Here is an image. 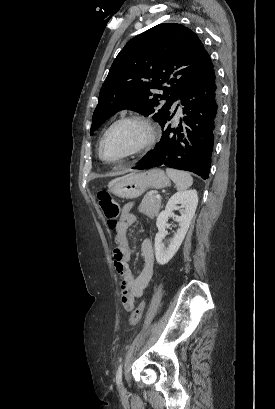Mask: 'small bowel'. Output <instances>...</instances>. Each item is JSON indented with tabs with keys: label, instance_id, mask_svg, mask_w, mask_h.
<instances>
[{
	"label": "small bowel",
	"instance_id": "c3829d8e",
	"mask_svg": "<svg viewBox=\"0 0 275 409\" xmlns=\"http://www.w3.org/2000/svg\"><path fill=\"white\" fill-rule=\"evenodd\" d=\"M131 205L123 207L122 217L116 227V239L118 246L113 251L111 262L114 263L115 270L121 276V303L125 310H131L136 301L142 297L145 289L151 281L153 275L154 250L149 239H145L141 244V254L144 259V267L135 273L130 267L132 257V247L129 241V229L134 222V217L130 213Z\"/></svg>",
	"mask_w": 275,
	"mask_h": 409
}]
</instances>
